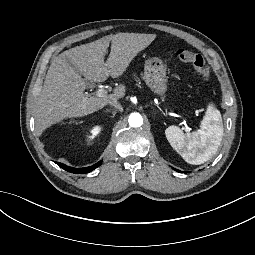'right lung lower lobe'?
<instances>
[{
    "instance_id": "right-lung-lower-lobe-1",
    "label": "right lung lower lobe",
    "mask_w": 255,
    "mask_h": 255,
    "mask_svg": "<svg viewBox=\"0 0 255 255\" xmlns=\"http://www.w3.org/2000/svg\"><path fill=\"white\" fill-rule=\"evenodd\" d=\"M56 164L59 165L64 170L68 171V172L77 173V174H84V173L91 172L92 170L99 167L101 165V161L94 164V165H92V166H90V167H84V168H74V167L67 166L63 163H59V162H56Z\"/></svg>"
}]
</instances>
